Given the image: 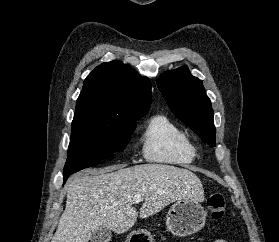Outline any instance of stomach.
I'll return each instance as SVG.
<instances>
[{"instance_id":"0dacf381","label":"stomach","mask_w":279,"mask_h":242,"mask_svg":"<svg viewBox=\"0 0 279 242\" xmlns=\"http://www.w3.org/2000/svg\"><path fill=\"white\" fill-rule=\"evenodd\" d=\"M207 213L195 199L176 200L166 215V226L174 236L184 237L200 231L206 222ZM128 242H153L146 230L131 233Z\"/></svg>"}]
</instances>
